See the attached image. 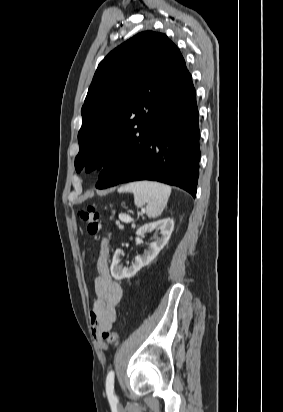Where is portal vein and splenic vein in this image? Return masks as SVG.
Masks as SVG:
<instances>
[{
    "mask_svg": "<svg viewBox=\"0 0 283 412\" xmlns=\"http://www.w3.org/2000/svg\"><path fill=\"white\" fill-rule=\"evenodd\" d=\"M119 219L124 223H130L133 221L131 217H129L128 215H124V214H120Z\"/></svg>",
    "mask_w": 283,
    "mask_h": 412,
    "instance_id": "18ae733b",
    "label": "portal vein and splenic vein"
}]
</instances>
